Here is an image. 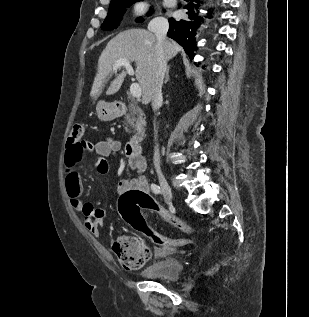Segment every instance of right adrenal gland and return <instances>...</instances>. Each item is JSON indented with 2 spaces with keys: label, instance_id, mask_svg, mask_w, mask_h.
Masks as SVG:
<instances>
[{
  "label": "right adrenal gland",
  "instance_id": "2a0ac1e0",
  "mask_svg": "<svg viewBox=\"0 0 309 317\" xmlns=\"http://www.w3.org/2000/svg\"><path fill=\"white\" fill-rule=\"evenodd\" d=\"M169 81V67L166 72L165 84Z\"/></svg>",
  "mask_w": 309,
  "mask_h": 317
}]
</instances>
